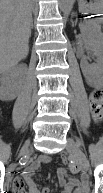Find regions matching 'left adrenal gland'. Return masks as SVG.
Returning <instances> with one entry per match:
<instances>
[{
	"label": "left adrenal gland",
	"instance_id": "obj_1",
	"mask_svg": "<svg viewBox=\"0 0 103 193\" xmlns=\"http://www.w3.org/2000/svg\"><path fill=\"white\" fill-rule=\"evenodd\" d=\"M77 24V20L75 21V25Z\"/></svg>",
	"mask_w": 103,
	"mask_h": 193
}]
</instances>
